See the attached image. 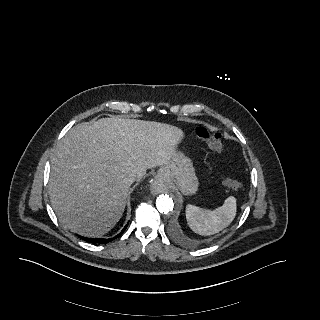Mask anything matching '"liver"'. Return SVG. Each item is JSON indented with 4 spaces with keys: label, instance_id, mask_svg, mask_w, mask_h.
Masks as SVG:
<instances>
[{
    "label": "liver",
    "instance_id": "1",
    "mask_svg": "<svg viewBox=\"0 0 320 320\" xmlns=\"http://www.w3.org/2000/svg\"><path fill=\"white\" fill-rule=\"evenodd\" d=\"M183 137L169 124L117 117L70 129L51 163L49 196L60 223L85 237L108 233L123 215L128 176L166 164Z\"/></svg>",
    "mask_w": 320,
    "mask_h": 320
}]
</instances>
